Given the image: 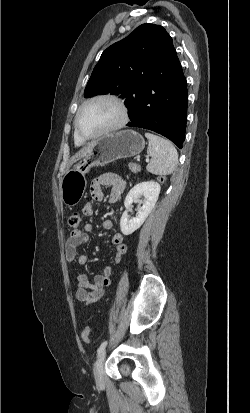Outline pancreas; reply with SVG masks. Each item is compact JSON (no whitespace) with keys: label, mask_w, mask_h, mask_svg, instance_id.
<instances>
[{"label":"pancreas","mask_w":250,"mask_h":413,"mask_svg":"<svg viewBox=\"0 0 250 413\" xmlns=\"http://www.w3.org/2000/svg\"><path fill=\"white\" fill-rule=\"evenodd\" d=\"M131 170H132L133 172H138V171H139V167H138L137 165H134V166L131 167Z\"/></svg>","instance_id":"cf45deb5"}]
</instances>
